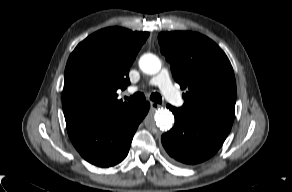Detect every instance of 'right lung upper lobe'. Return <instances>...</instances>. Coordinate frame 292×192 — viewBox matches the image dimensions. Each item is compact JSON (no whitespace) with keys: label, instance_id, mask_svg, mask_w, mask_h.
Segmentation results:
<instances>
[{"label":"right lung upper lobe","instance_id":"cb5924a9","mask_svg":"<svg viewBox=\"0 0 292 192\" xmlns=\"http://www.w3.org/2000/svg\"><path fill=\"white\" fill-rule=\"evenodd\" d=\"M148 36V32L110 27L77 45L65 68L62 96L65 120L104 117L132 106L118 100L116 91L130 83V66Z\"/></svg>","mask_w":292,"mask_h":192}]
</instances>
